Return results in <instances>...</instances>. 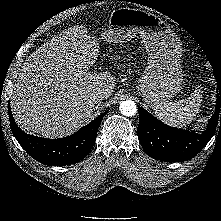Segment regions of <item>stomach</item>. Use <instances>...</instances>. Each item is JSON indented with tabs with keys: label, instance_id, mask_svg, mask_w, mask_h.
I'll return each mask as SVG.
<instances>
[{
	"label": "stomach",
	"instance_id": "obj_1",
	"mask_svg": "<svg viewBox=\"0 0 221 221\" xmlns=\"http://www.w3.org/2000/svg\"><path fill=\"white\" fill-rule=\"evenodd\" d=\"M108 23L99 37L106 42H128L139 34L150 60L137 90L152 107L167 103L183 83L178 36L161 18L140 9H115Z\"/></svg>",
	"mask_w": 221,
	"mask_h": 221
}]
</instances>
